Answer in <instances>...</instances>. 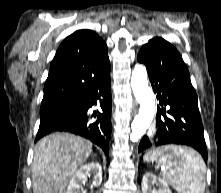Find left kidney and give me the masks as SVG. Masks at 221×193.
I'll use <instances>...</instances> for the list:
<instances>
[{
    "mask_svg": "<svg viewBox=\"0 0 221 193\" xmlns=\"http://www.w3.org/2000/svg\"><path fill=\"white\" fill-rule=\"evenodd\" d=\"M156 184L159 189H152V186ZM143 193H172L165 180L160 179L152 173H146L142 178L141 183Z\"/></svg>",
    "mask_w": 221,
    "mask_h": 193,
    "instance_id": "5707ae66",
    "label": "left kidney"
}]
</instances>
